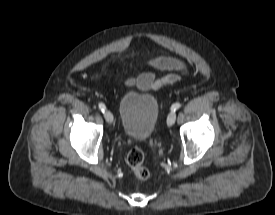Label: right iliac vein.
Instances as JSON below:
<instances>
[{"instance_id":"1","label":"right iliac vein","mask_w":275,"mask_h":215,"mask_svg":"<svg viewBox=\"0 0 275 215\" xmlns=\"http://www.w3.org/2000/svg\"><path fill=\"white\" fill-rule=\"evenodd\" d=\"M104 118L110 124L113 122V119H114L112 113L107 110L104 112Z\"/></svg>"}]
</instances>
